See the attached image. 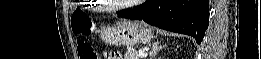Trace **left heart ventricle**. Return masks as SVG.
<instances>
[{"label":"left heart ventricle","instance_id":"1","mask_svg":"<svg viewBox=\"0 0 261 59\" xmlns=\"http://www.w3.org/2000/svg\"><path fill=\"white\" fill-rule=\"evenodd\" d=\"M124 2H127V1H123V0H117V1H109V3L113 4V5H118V4H122Z\"/></svg>","mask_w":261,"mask_h":59}]
</instances>
